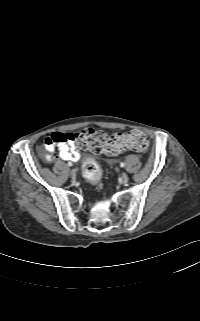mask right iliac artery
Returning <instances> with one entry per match:
<instances>
[{"mask_svg":"<svg viewBox=\"0 0 200 321\" xmlns=\"http://www.w3.org/2000/svg\"><path fill=\"white\" fill-rule=\"evenodd\" d=\"M68 166H70V167H71V166H72V163H71V162H68Z\"/></svg>","mask_w":200,"mask_h":321,"instance_id":"obj_1","label":"right iliac artery"}]
</instances>
